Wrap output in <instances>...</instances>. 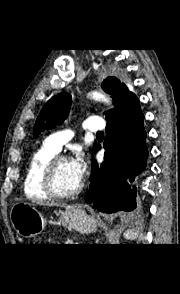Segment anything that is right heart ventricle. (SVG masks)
I'll use <instances>...</instances> for the list:
<instances>
[{
    "label": "right heart ventricle",
    "instance_id": "1",
    "mask_svg": "<svg viewBox=\"0 0 180 294\" xmlns=\"http://www.w3.org/2000/svg\"><path fill=\"white\" fill-rule=\"evenodd\" d=\"M56 154L57 152L44 144L32 155L23 183V190L27 197L36 200L50 199L42 188V172Z\"/></svg>",
    "mask_w": 180,
    "mask_h": 294
}]
</instances>
